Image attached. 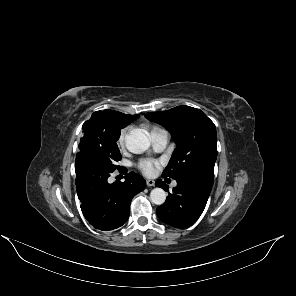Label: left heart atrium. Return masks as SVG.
I'll return each mask as SVG.
<instances>
[{"instance_id":"left-heart-atrium-1","label":"left heart atrium","mask_w":296,"mask_h":296,"mask_svg":"<svg viewBox=\"0 0 296 296\" xmlns=\"http://www.w3.org/2000/svg\"><path fill=\"white\" fill-rule=\"evenodd\" d=\"M160 166L161 163L152 158H142L137 163L138 169L148 177L155 176L158 173Z\"/></svg>"}]
</instances>
